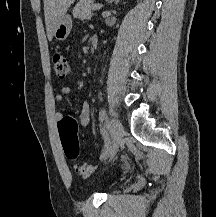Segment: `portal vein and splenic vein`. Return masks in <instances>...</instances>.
Instances as JSON below:
<instances>
[{
  "label": "portal vein and splenic vein",
  "instance_id": "18ae733b",
  "mask_svg": "<svg viewBox=\"0 0 216 217\" xmlns=\"http://www.w3.org/2000/svg\"><path fill=\"white\" fill-rule=\"evenodd\" d=\"M102 7V5H93L92 9L93 10H98Z\"/></svg>",
  "mask_w": 216,
  "mask_h": 217
}]
</instances>
